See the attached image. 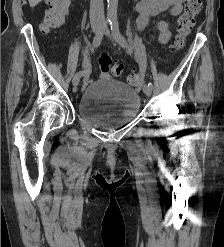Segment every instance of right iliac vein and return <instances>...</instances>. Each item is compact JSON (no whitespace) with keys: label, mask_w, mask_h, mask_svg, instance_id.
Instances as JSON below:
<instances>
[{"label":"right iliac vein","mask_w":224,"mask_h":247,"mask_svg":"<svg viewBox=\"0 0 224 247\" xmlns=\"http://www.w3.org/2000/svg\"><path fill=\"white\" fill-rule=\"evenodd\" d=\"M101 30V25L100 24H93L92 25V31L93 33H98ZM81 76L78 74V72L74 75L73 80H72V85L76 87L79 82H80Z\"/></svg>","instance_id":"63e3f726"}]
</instances>
